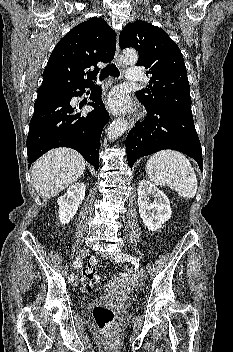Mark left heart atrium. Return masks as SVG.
Masks as SVG:
<instances>
[{"label":"left heart atrium","instance_id":"39dd6f15","mask_svg":"<svg viewBox=\"0 0 233 352\" xmlns=\"http://www.w3.org/2000/svg\"><path fill=\"white\" fill-rule=\"evenodd\" d=\"M108 105L114 110L122 111L128 108L129 100L124 92L116 90L109 96Z\"/></svg>","mask_w":233,"mask_h":352}]
</instances>
